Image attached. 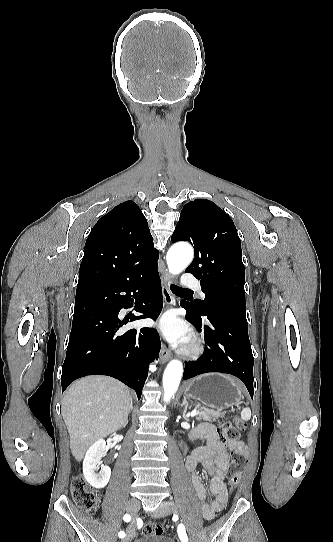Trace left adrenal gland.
<instances>
[{
  "mask_svg": "<svg viewBox=\"0 0 333 542\" xmlns=\"http://www.w3.org/2000/svg\"><path fill=\"white\" fill-rule=\"evenodd\" d=\"M183 406H184V412L182 414V418H184V420H188V418H186V414H187V410L189 408V402H187L186 396H183V402L181 404V408H183Z\"/></svg>",
  "mask_w": 333,
  "mask_h": 542,
  "instance_id": "a2214340",
  "label": "left adrenal gland"
}]
</instances>
